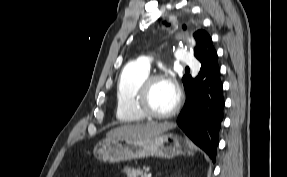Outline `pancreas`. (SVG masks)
I'll return each instance as SVG.
<instances>
[{
    "mask_svg": "<svg viewBox=\"0 0 287 177\" xmlns=\"http://www.w3.org/2000/svg\"><path fill=\"white\" fill-rule=\"evenodd\" d=\"M148 170H149V168H143V170H140V169H136V168L125 167L124 173L128 177H146Z\"/></svg>",
    "mask_w": 287,
    "mask_h": 177,
    "instance_id": "cf45deb5",
    "label": "pancreas"
}]
</instances>
